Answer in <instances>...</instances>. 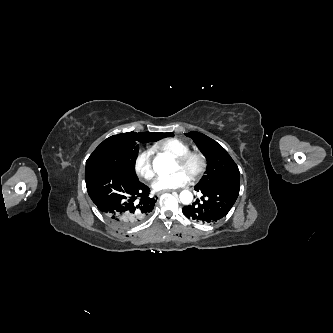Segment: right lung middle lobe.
<instances>
[{"instance_id":"right-lung-middle-lobe-1","label":"right lung middle lobe","mask_w":333,"mask_h":333,"mask_svg":"<svg viewBox=\"0 0 333 333\" xmlns=\"http://www.w3.org/2000/svg\"><path fill=\"white\" fill-rule=\"evenodd\" d=\"M158 138L174 136L173 133H157ZM138 145L125 133L111 136L104 140L86 161V168L105 166L138 178L135 173V162L138 156Z\"/></svg>"}]
</instances>
